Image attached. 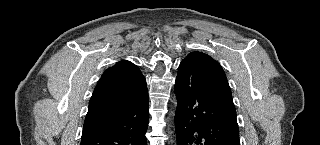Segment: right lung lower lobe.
Listing matches in <instances>:
<instances>
[{"mask_svg": "<svg viewBox=\"0 0 320 145\" xmlns=\"http://www.w3.org/2000/svg\"><path fill=\"white\" fill-rule=\"evenodd\" d=\"M127 101L118 108L86 118L81 145H147L149 122L146 81L135 85Z\"/></svg>", "mask_w": 320, "mask_h": 145, "instance_id": "98d812e1", "label": "right lung lower lobe"}]
</instances>
